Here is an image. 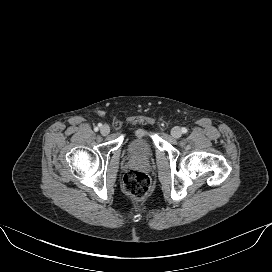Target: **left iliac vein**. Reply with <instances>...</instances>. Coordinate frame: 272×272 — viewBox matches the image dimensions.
<instances>
[{"mask_svg": "<svg viewBox=\"0 0 272 272\" xmlns=\"http://www.w3.org/2000/svg\"><path fill=\"white\" fill-rule=\"evenodd\" d=\"M171 135L174 138H179L182 135V131H181V129L178 126L173 127L172 130H171Z\"/></svg>", "mask_w": 272, "mask_h": 272, "instance_id": "4c4485c4", "label": "left iliac vein"}]
</instances>
